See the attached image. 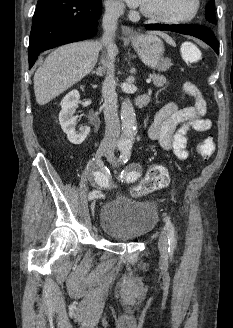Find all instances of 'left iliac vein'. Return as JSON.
I'll return each instance as SVG.
<instances>
[{
	"instance_id": "4c4485c4",
	"label": "left iliac vein",
	"mask_w": 233,
	"mask_h": 328,
	"mask_svg": "<svg viewBox=\"0 0 233 328\" xmlns=\"http://www.w3.org/2000/svg\"><path fill=\"white\" fill-rule=\"evenodd\" d=\"M106 158L112 165L116 164V158L114 156L113 151H109L108 154L106 155ZM158 246L160 252L163 255L166 254L168 245H167V238L164 233H162L161 236L159 237Z\"/></svg>"
}]
</instances>
